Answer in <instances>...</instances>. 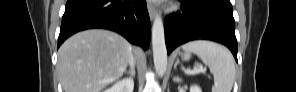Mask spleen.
<instances>
[{"instance_id": "obj_1", "label": "spleen", "mask_w": 296, "mask_h": 92, "mask_svg": "<svg viewBox=\"0 0 296 92\" xmlns=\"http://www.w3.org/2000/svg\"><path fill=\"white\" fill-rule=\"evenodd\" d=\"M184 51L196 54L214 76L212 92H231L235 65L230 51L211 41H191L182 46Z\"/></svg>"}]
</instances>
